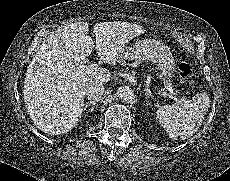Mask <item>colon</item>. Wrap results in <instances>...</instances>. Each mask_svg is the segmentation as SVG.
Segmentation results:
<instances>
[{
    "instance_id": "colon-1",
    "label": "colon",
    "mask_w": 230,
    "mask_h": 181,
    "mask_svg": "<svg viewBox=\"0 0 230 181\" xmlns=\"http://www.w3.org/2000/svg\"><path fill=\"white\" fill-rule=\"evenodd\" d=\"M179 77L183 82L189 81L193 75L192 66L187 62H181L178 66Z\"/></svg>"
}]
</instances>
